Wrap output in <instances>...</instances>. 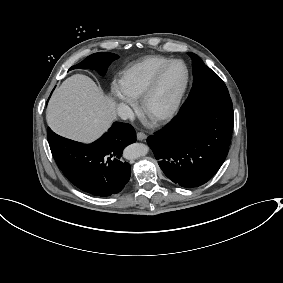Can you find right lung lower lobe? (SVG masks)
I'll use <instances>...</instances> for the list:
<instances>
[{
	"label": "right lung lower lobe",
	"mask_w": 283,
	"mask_h": 283,
	"mask_svg": "<svg viewBox=\"0 0 283 283\" xmlns=\"http://www.w3.org/2000/svg\"><path fill=\"white\" fill-rule=\"evenodd\" d=\"M135 141L134 128L121 122L92 144L66 139L48 128L49 146L59 169L72 184L94 196H110L124 188L131 167L122 161V152Z\"/></svg>",
	"instance_id": "98d812e1"
}]
</instances>
